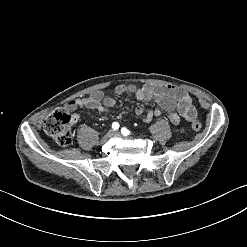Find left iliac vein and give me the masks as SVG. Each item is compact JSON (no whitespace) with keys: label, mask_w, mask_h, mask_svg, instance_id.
<instances>
[{"label":"left iliac vein","mask_w":247,"mask_h":247,"mask_svg":"<svg viewBox=\"0 0 247 247\" xmlns=\"http://www.w3.org/2000/svg\"><path fill=\"white\" fill-rule=\"evenodd\" d=\"M115 136H117V137H121V136H122V134H121L119 131H116V132H115ZM128 138H132V137H128Z\"/></svg>","instance_id":"obj_1"}]
</instances>
